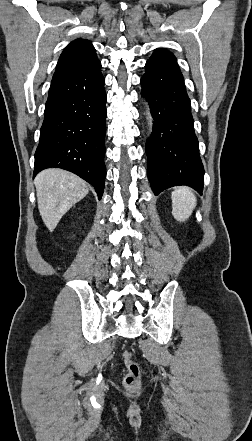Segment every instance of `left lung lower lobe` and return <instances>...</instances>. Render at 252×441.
<instances>
[{"label":"left lung lower lobe","instance_id":"1","mask_svg":"<svg viewBox=\"0 0 252 441\" xmlns=\"http://www.w3.org/2000/svg\"><path fill=\"white\" fill-rule=\"evenodd\" d=\"M141 95L154 119L146 144L148 179L155 195L176 185L203 190L204 168L190 99L175 56L158 48L146 63Z\"/></svg>","mask_w":252,"mask_h":441}]
</instances>
